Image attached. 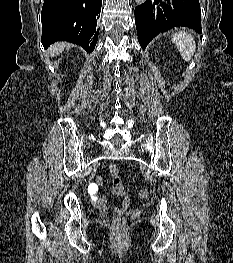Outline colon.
I'll return each mask as SVG.
<instances>
[{
  "mask_svg": "<svg viewBox=\"0 0 233 263\" xmlns=\"http://www.w3.org/2000/svg\"><path fill=\"white\" fill-rule=\"evenodd\" d=\"M111 170H112L113 182L117 185L122 186V182L118 175L116 167L113 166ZM87 186H88V190L90 191V194H88V199H91L92 202H97L98 201L97 194L99 190L98 183L88 182ZM138 196L140 199L146 200L149 198L150 193L147 189H141L138 192ZM112 225L115 230L117 231L122 230L126 225L125 218L121 215L115 216L112 220Z\"/></svg>",
  "mask_w": 233,
  "mask_h": 263,
  "instance_id": "colon-1",
  "label": "colon"
}]
</instances>
